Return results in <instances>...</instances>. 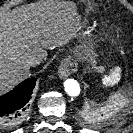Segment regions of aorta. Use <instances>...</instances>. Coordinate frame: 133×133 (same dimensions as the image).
<instances>
[{"label": "aorta", "mask_w": 133, "mask_h": 133, "mask_svg": "<svg viewBox=\"0 0 133 133\" xmlns=\"http://www.w3.org/2000/svg\"><path fill=\"white\" fill-rule=\"evenodd\" d=\"M63 86L65 92L71 97H76L81 92L79 83L74 79H66L63 83Z\"/></svg>", "instance_id": "obj_1"}]
</instances>
